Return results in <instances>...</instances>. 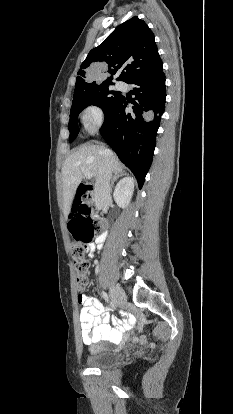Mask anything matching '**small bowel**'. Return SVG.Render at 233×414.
<instances>
[{"mask_svg": "<svg viewBox=\"0 0 233 414\" xmlns=\"http://www.w3.org/2000/svg\"><path fill=\"white\" fill-rule=\"evenodd\" d=\"M105 239L106 234L102 233L94 243L87 245L86 249L92 257H94L96 248L101 247ZM78 296L81 298L78 303L81 306L80 323L83 343L93 350L99 348L96 343L101 340L115 345L121 344L124 340V333L133 328L135 319L130 316L125 322H122L115 318L112 327L109 324V313L97 298L87 296L84 290H81Z\"/></svg>", "mask_w": 233, "mask_h": 414, "instance_id": "1", "label": "small bowel"}]
</instances>
